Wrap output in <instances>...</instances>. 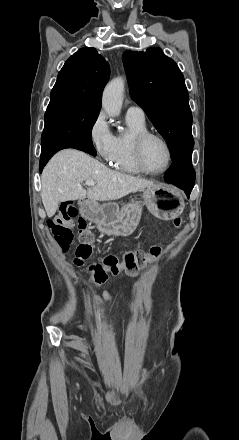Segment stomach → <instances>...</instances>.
<instances>
[{"label":"stomach","instance_id":"1","mask_svg":"<svg viewBox=\"0 0 239 440\" xmlns=\"http://www.w3.org/2000/svg\"><path fill=\"white\" fill-rule=\"evenodd\" d=\"M140 202H131L119 208L116 202H105L99 204L96 200H79L81 216L97 224L99 232L107 236H130L135 232L141 218L142 206H146L150 214L159 220H174L181 216L185 204L184 200L174 188H153L144 190Z\"/></svg>","mask_w":239,"mask_h":440}]
</instances>
